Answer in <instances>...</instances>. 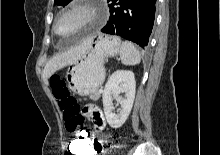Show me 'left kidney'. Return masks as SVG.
<instances>
[{"instance_id": "1", "label": "left kidney", "mask_w": 220, "mask_h": 155, "mask_svg": "<svg viewBox=\"0 0 220 155\" xmlns=\"http://www.w3.org/2000/svg\"><path fill=\"white\" fill-rule=\"evenodd\" d=\"M136 81L132 71L117 70L109 78L103 91V107L108 124L120 128L127 120L135 98ZM125 93L124 98L120 96ZM113 99L121 105L117 114L113 112Z\"/></svg>"}]
</instances>
